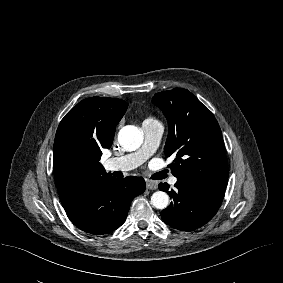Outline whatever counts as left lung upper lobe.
<instances>
[{"mask_svg": "<svg viewBox=\"0 0 283 283\" xmlns=\"http://www.w3.org/2000/svg\"><path fill=\"white\" fill-rule=\"evenodd\" d=\"M168 120L164 152L175 156L172 174L209 190L224 192L228 164L221 129L213 113L191 92L174 88L153 96Z\"/></svg>", "mask_w": 283, "mask_h": 283, "instance_id": "obj_1", "label": "left lung upper lobe"}]
</instances>
